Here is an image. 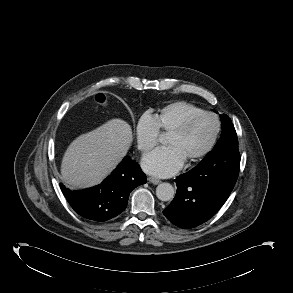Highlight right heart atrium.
I'll use <instances>...</instances> for the list:
<instances>
[{"label":"right heart atrium","instance_id":"1","mask_svg":"<svg viewBox=\"0 0 293 293\" xmlns=\"http://www.w3.org/2000/svg\"><path fill=\"white\" fill-rule=\"evenodd\" d=\"M159 134L160 129L154 115L143 113L135 125V137L138 149L142 153L153 149L158 143Z\"/></svg>","mask_w":293,"mask_h":293}]
</instances>
